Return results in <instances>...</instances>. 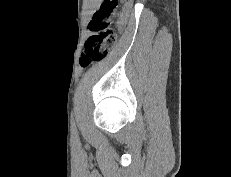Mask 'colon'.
I'll use <instances>...</instances> for the list:
<instances>
[{"label":"colon","instance_id":"1","mask_svg":"<svg viewBox=\"0 0 231 177\" xmlns=\"http://www.w3.org/2000/svg\"><path fill=\"white\" fill-rule=\"evenodd\" d=\"M120 1L122 0H103L93 14L88 24L92 34L88 37L80 57L82 67L103 60L114 46L117 36L113 18L119 10Z\"/></svg>","mask_w":231,"mask_h":177}]
</instances>
